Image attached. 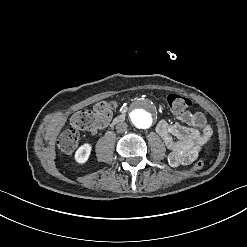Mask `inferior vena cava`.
I'll use <instances>...</instances> for the list:
<instances>
[{
	"label": "inferior vena cava",
	"instance_id": "inferior-vena-cava-1",
	"mask_svg": "<svg viewBox=\"0 0 247 247\" xmlns=\"http://www.w3.org/2000/svg\"><path fill=\"white\" fill-rule=\"evenodd\" d=\"M127 127H128L127 123L119 122L116 125V130L117 132H125L127 130Z\"/></svg>",
	"mask_w": 247,
	"mask_h": 247
}]
</instances>
